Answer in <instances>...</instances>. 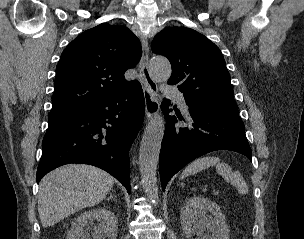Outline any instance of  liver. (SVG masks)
Listing matches in <instances>:
<instances>
[{
	"label": "liver",
	"instance_id": "6515ba94",
	"mask_svg": "<svg viewBox=\"0 0 304 239\" xmlns=\"http://www.w3.org/2000/svg\"><path fill=\"white\" fill-rule=\"evenodd\" d=\"M114 178L85 164H68L48 173L39 184L38 213L44 228L98 204L111 190Z\"/></svg>",
	"mask_w": 304,
	"mask_h": 239
}]
</instances>
